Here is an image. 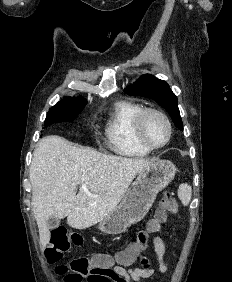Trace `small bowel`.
Returning a JSON list of instances; mask_svg holds the SVG:
<instances>
[{
  "label": "small bowel",
  "mask_w": 232,
  "mask_h": 282,
  "mask_svg": "<svg viewBox=\"0 0 232 282\" xmlns=\"http://www.w3.org/2000/svg\"><path fill=\"white\" fill-rule=\"evenodd\" d=\"M154 253L156 256L158 271L165 273L167 271V266L164 262L165 255V244L161 237L156 236L153 239ZM155 273V270L151 267L149 260L143 258L141 260L140 267L137 268H124L120 265H113L111 267V273L90 280V282H142L145 279L150 278Z\"/></svg>",
  "instance_id": "c3829d8e"
}]
</instances>
